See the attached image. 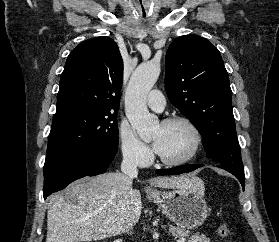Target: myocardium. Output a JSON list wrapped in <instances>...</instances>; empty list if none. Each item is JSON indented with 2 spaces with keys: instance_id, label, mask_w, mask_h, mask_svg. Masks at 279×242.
<instances>
[{
  "instance_id": "1",
  "label": "myocardium",
  "mask_w": 279,
  "mask_h": 242,
  "mask_svg": "<svg viewBox=\"0 0 279 242\" xmlns=\"http://www.w3.org/2000/svg\"><path fill=\"white\" fill-rule=\"evenodd\" d=\"M175 123L184 124L190 129V131L192 132V135H193V145H192V148L189 151V153L179 159H167L157 152V157H158L159 161L162 164L167 165V166H181V165H184V164L190 162L198 154V152L202 146V142H203V136H202L201 130L199 129V127L196 125V123L193 120H191L190 118H188L186 116H180V115L170 116V117L163 119L160 124L171 125V124H175Z\"/></svg>"
}]
</instances>
